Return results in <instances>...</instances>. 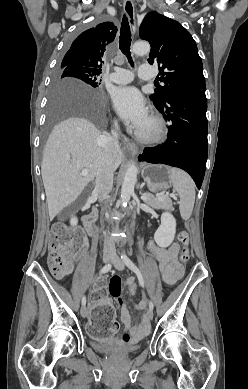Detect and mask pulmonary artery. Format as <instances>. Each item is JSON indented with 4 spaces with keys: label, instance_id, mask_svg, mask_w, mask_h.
Here are the masks:
<instances>
[{
    "label": "pulmonary artery",
    "instance_id": "e3ab8cb5",
    "mask_svg": "<svg viewBox=\"0 0 248 389\" xmlns=\"http://www.w3.org/2000/svg\"><path fill=\"white\" fill-rule=\"evenodd\" d=\"M133 73L124 68L116 67L108 79L117 84H126L132 81ZM138 76L143 80H150L153 78V70L149 64H141L138 71Z\"/></svg>",
    "mask_w": 248,
    "mask_h": 389
}]
</instances>
